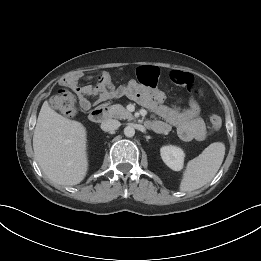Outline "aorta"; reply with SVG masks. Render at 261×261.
Segmentation results:
<instances>
[{"label": "aorta", "instance_id": "obj_1", "mask_svg": "<svg viewBox=\"0 0 261 261\" xmlns=\"http://www.w3.org/2000/svg\"><path fill=\"white\" fill-rule=\"evenodd\" d=\"M124 134L126 137H133L135 135V129L132 126H126L124 128Z\"/></svg>", "mask_w": 261, "mask_h": 261}]
</instances>
